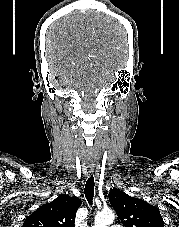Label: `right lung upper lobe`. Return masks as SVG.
Listing matches in <instances>:
<instances>
[{
    "instance_id": "cb5924a9",
    "label": "right lung upper lobe",
    "mask_w": 179,
    "mask_h": 227,
    "mask_svg": "<svg viewBox=\"0 0 179 227\" xmlns=\"http://www.w3.org/2000/svg\"><path fill=\"white\" fill-rule=\"evenodd\" d=\"M79 198L61 194L28 216L22 227H74Z\"/></svg>"
}]
</instances>
